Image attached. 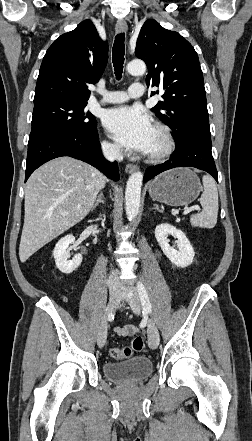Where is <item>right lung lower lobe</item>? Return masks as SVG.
Returning <instances> with one entry per match:
<instances>
[{
  "mask_svg": "<svg viewBox=\"0 0 252 441\" xmlns=\"http://www.w3.org/2000/svg\"><path fill=\"white\" fill-rule=\"evenodd\" d=\"M70 156L102 170L115 181L119 179L118 165L104 159L96 125L85 131L40 130L29 136L25 181L45 162Z\"/></svg>",
  "mask_w": 252,
  "mask_h": 441,
  "instance_id": "obj_1",
  "label": "right lung lower lobe"
}]
</instances>
